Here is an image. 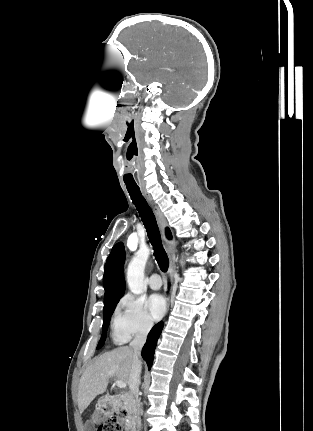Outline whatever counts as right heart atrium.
I'll use <instances>...</instances> for the list:
<instances>
[{
	"mask_svg": "<svg viewBox=\"0 0 313 431\" xmlns=\"http://www.w3.org/2000/svg\"><path fill=\"white\" fill-rule=\"evenodd\" d=\"M154 323L143 301L127 294L119 301L113 320L114 335L127 340L131 336L147 335Z\"/></svg>",
	"mask_w": 313,
	"mask_h": 431,
	"instance_id": "right-heart-atrium-1",
	"label": "right heart atrium"
}]
</instances>
